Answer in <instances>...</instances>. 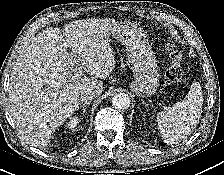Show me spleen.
<instances>
[{
    "instance_id": "1",
    "label": "spleen",
    "mask_w": 224,
    "mask_h": 175,
    "mask_svg": "<svg viewBox=\"0 0 224 175\" xmlns=\"http://www.w3.org/2000/svg\"><path fill=\"white\" fill-rule=\"evenodd\" d=\"M202 106V88L199 82H194L184 100L158 112V128L163 141L172 145L189 136L199 123Z\"/></svg>"
}]
</instances>
